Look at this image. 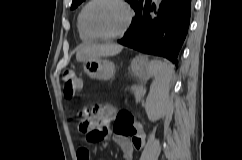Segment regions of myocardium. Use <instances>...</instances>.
Masks as SVG:
<instances>
[{
  "mask_svg": "<svg viewBox=\"0 0 242 160\" xmlns=\"http://www.w3.org/2000/svg\"><path fill=\"white\" fill-rule=\"evenodd\" d=\"M98 0H89L86 5L83 7L82 11H81V25L83 27V29L85 30V32L93 39H101V40H113V39H117L120 38L122 36H124L129 29L131 28L133 19H134V11L131 7V5L126 1V0H115L116 2H118L126 11V22L125 25L123 26V28L116 32V33H112V34H96L94 32H92L89 27L86 24V12L88 10V8L95 3Z\"/></svg>",
  "mask_w": 242,
  "mask_h": 160,
  "instance_id": "1",
  "label": "myocardium"
}]
</instances>
